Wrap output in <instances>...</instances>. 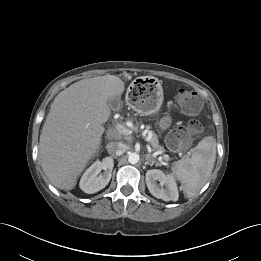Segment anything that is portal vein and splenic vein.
I'll use <instances>...</instances> for the list:
<instances>
[{"label": "portal vein and splenic vein", "instance_id": "obj_1", "mask_svg": "<svg viewBox=\"0 0 261 261\" xmlns=\"http://www.w3.org/2000/svg\"><path fill=\"white\" fill-rule=\"evenodd\" d=\"M115 128L118 130V132L120 134H123V135H129L130 134V129H128L127 127L121 125V124H116ZM147 141H150V138H146ZM148 151L151 152L152 149L151 147L149 146L148 147ZM158 154H160V152H154L153 153V156H157ZM166 157H169L168 155H165Z\"/></svg>", "mask_w": 261, "mask_h": 261}]
</instances>
